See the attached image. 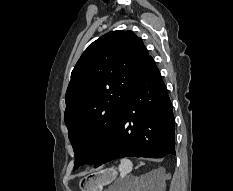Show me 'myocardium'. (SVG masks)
<instances>
[{
    "mask_svg": "<svg viewBox=\"0 0 233 191\" xmlns=\"http://www.w3.org/2000/svg\"><path fill=\"white\" fill-rule=\"evenodd\" d=\"M104 137H105V132L104 131H99L94 136V140H95V142H100V141H102L104 139Z\"/></svg>",
    "mask_w": 233,
    "mask_h": 191,
    "instance_id": "myocardium-1",
    "label": "myocardium"
}]
</instances>
